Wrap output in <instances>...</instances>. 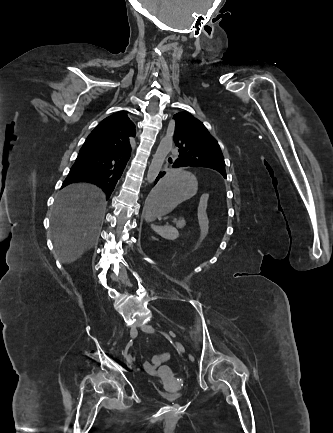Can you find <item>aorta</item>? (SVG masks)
Returning <instances> with one entry per match:
<instances>
[{
    "label": "aorta",
    "mask_w": 333,
    "mask_h": 433,
    "mask_svg": "<svg viewBox=\"0 0 333 433\" xmlns=\"http://www.w3.org/2000/svg\"><path fill=\"white\" fill-rule=\"evenodd\" d=\"M171 149H172V139L170 137L163 138L156 150L155 155L153 156L151 165L148 170L147 181L149 183H152L158 176L162 168V165L167 155L170 153Z\"/></svg>",
    "instance_id": "obj_1"
}]
</instances>
